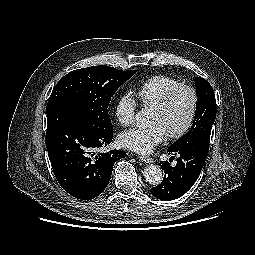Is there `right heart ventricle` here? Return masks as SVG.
<instances>
[{
  "instance_id": "1",
  "label": "right heart ventricle",
  "mask_w": 255,
  "mask_h": 255,
  "mask_svg": "<svg viewBox=\"0 0 255 255\" xmlns=\"http://www.w3.org/2000/svg\"><path fill=\"white\" fill-rule=\"evenodd\" d=\"M180 82L170 76L155 75L141 83L135 90V96L144 107H153L172 88Z\"/></svg>"
}]
</instances>
